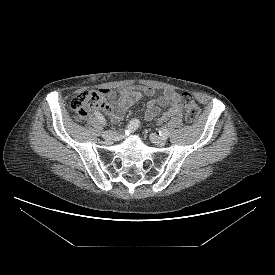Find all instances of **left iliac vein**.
Returning a JSON list of instances; mask_svg holds the SVG:
<instances>
[{
  "label": "left iliac vein",
  "mask_w": 275,
  "mask_h": 275,
  "mask_svg": "<svg viewBox=\"0 0 275 275\" xmlns=\"http://www.w3.org/2000/svg\"><path fill=\"white\" fill-rule=\"evenodd\" d=\"M150 140L157 146H164L166 144V140L163 137L158 136L155 133L150 134Z\"/></svg>",
  "instance_id": "obj_1"
}]
</instances>
